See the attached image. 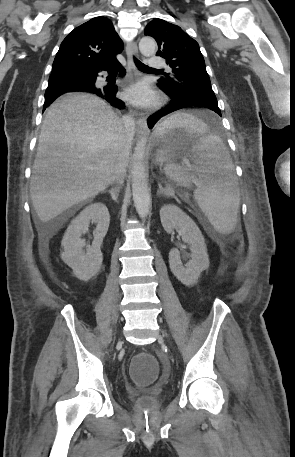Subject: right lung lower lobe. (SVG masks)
<instances>
[{"mask_svg": "<svg viewBox=\"0 0 295 457\" xmlns=\"http://www.w3.org/2000/svg\"><path fill=\"white\" fill-rule=\"evenodd\" d=\"M119 69L120 73H125L124 68L121 66L117 59L113 60L112 62L106 64L103 68L93 72L87 77H76L72 79H64V78H52L49 79V85L47 91H52L53 94L49 97L45 96V103H44V110L46 107L54 101L57 97L62 95L66 92H74V91H84L97 94L98 96L102 97L106 101H108L112 106L118 108H124L125 104L122 100L116 97V92L118 87L113 86H105L103 88H99L95 86V81L98 75V71H108L112 72L113 70Z\"/></svg>", "mask_w": 295, "mask_h": 457, "instance_id": "right-lung-lower-lobe-1", "label": "right lung lower lobe"}]
</instances>
